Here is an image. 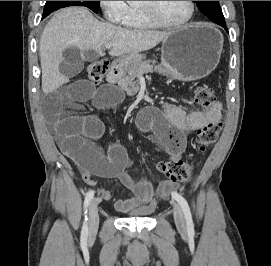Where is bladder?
<instances>
[{
  "instance_id": "bladder-1",
  "label": "bladder",
  "mask_w": 271,
  "mask_h": 266,
  "mask_svg": "<svg viewBox=\"0 0 271 266\" xmlns=\"http://www.w3.org/2000/svg\"><path fill=\"white\" fill-rule=\"evenodd\" d=\"M149 214H150L149 210L143 209V210L133 211V212L129 213L128 215H126V217H128V218H145V217H148Z\"/></svg>"
}]
</instances>
